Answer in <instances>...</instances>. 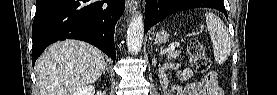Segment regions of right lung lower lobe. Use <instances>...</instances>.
<instances>
[{
  "mask_svg": "<svg viewBox=\"0 0 277 95\" xmlns=\"http://www.w3.org/2000/svg\"><path fill=\"white\" fill-rule=\"evenodd\" d=\"M124 8V0H37L33 66L48 45L65 39L93 44L115 62L114 29Z\"/></svg>",
  "mask_w": 277,
  "mask_h": 95,
  "instance_id": "98d812e1",
  "label": "right lung lower lobe"
}]
</instances>
